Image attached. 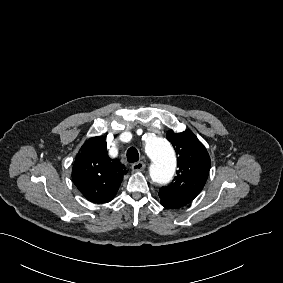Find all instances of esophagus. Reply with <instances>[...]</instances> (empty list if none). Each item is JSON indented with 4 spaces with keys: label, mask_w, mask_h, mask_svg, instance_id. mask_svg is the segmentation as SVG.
<instances>
[{
    "label": "esophagus",
    "mask_w": 283,
    "mask_h": 283,
    "mask_svg": "<svg viewBox=\"0 0 283 283\" xmlns=\"http://www.w3.org/2000/svg\"><path fill=\"white\" fill-rule=\"evenodd\" d=\"M145 167L146 164L143 161H139L131 165V169L135 172L142 171L145 169Z\"/></svg>",
    "instance_id": "esophagus-1"
}]
</instances>
